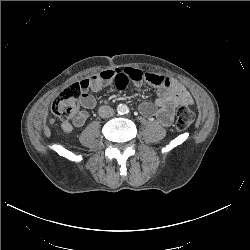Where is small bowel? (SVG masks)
I'll use <instances>...</instances> for the list:
<instances>
[{"mask_svg":"<svg viewBox=\"0 0 250 250\" xmlns=\"http://www.w3.org/2000/svg\"><path fill=\"white\" fill-rule=\"evenodd\" d=\"M143 83L157 88V97L152 103H142L139 110L144 116L155 118L163 126L172 123L177 106H188L193 103L189 92L172 78L153 72H143L137 68L106 70L78 83L82 89L79 99L80 109L71 121L66 120L61 123L62 131L71 133L74 128L81 127L86 122L88 110L93 109L97 104L91 91L99 92L112 84L118 89H126L130 86L140 88Z\"/></svg>","mask_w":250,"mask_h":250,"instance_id":"c3829d8e","label":"small bowel"}]
</instances>
